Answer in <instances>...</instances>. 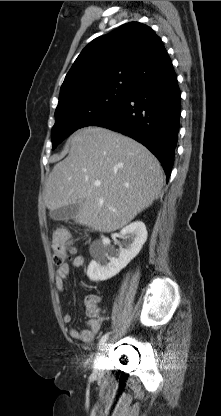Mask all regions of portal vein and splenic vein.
<instances>
[{
  "instance_id": "18ae733b",
  "label": "portal vein and splenic vein",
  "mask_w": 221,
  "mask_h": 416,
  "mask_svg": "<svg viewBox=\"0 0 221 416\" xmlns=\"http://www.w3.org/2000/svg\"><path fill=\"white\" fill-rule=\"evenodd\" d=\"M100 184H101L100 182H95L96 186H100Z\"/></svg>"
}]
</instances>
